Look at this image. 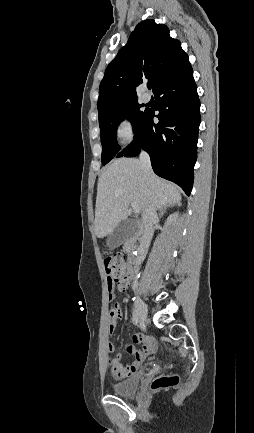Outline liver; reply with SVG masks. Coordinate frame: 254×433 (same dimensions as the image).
I'll use <instances>...</instances> for the list:
<instances>
[{
  "instance_id": "6515ba94",
  "label": "liver",
  "mask_w": 254,
  "mask_h": 433,
  "mask_svg": "<svg viewBox=\"0 0 254 433\" xmlns=\"http://www.w3.org/2000/svg\"><path fill=\"white\" fill-rule=\"evenodd\" d=\"M179 188L153 172L147 175L138 159L121 158L100 175L97 186L94 229L103 238L128 216V206L135 203L145 212L153 203L156 208L180 204Z\"/></svg>"
}]
</instances>
